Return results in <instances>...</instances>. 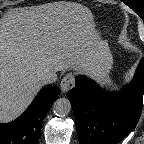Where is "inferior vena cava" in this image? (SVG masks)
I'll use <instances>...</instances> for the list:
<instances>
[{
	"mask_svg": "<svg viewBox=\"0 0 144 144\" xmlns=\"http://www.w3.org/2000/svg\"><path fill=\"white\" fill-rule=\"evenodd\" d=\"M57 80V74L53 71H48L41 76V81L44 84L52 83Z\"/></svg>",
	"mask_w": 144,
	"mask_h": 144,
	"instance_id": "obj_1",
	"label": "inferior vena cava"
}]
</instances>
